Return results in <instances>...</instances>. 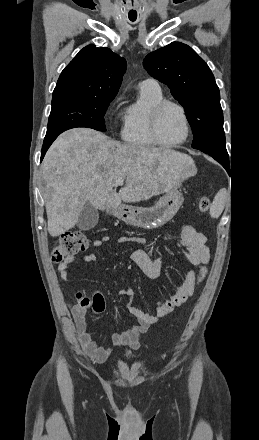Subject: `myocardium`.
Masks as SVG:
<instances>
[{"label":"myocardium","mask_w":259,"mask_h":440,"mask_svg":"<svg viewBox=\"0 0 259 440\" xmlns=\"http://www.w3.org/2000/svg\"><path fill=\"white\" fill-rule=\"evenodd\" d=\"M169 106L175 107L176 109L179 110V112L181 113V116L183 118L184 125H185L184 137L180 141L175 142V143H166L160 138V135H159V121H160L161 114ZM149 130H150V134H151L153 141L158 146H161L164 148H175V147H179V146L183 145L189 139L190 134H191V126H190L189 118H188V115H187L185 108L181 104H179L175 101H172V100H162L161 102H159L158 104H156L152 108V110L150 112V118H149Z\"/></svg>","instance_id":"obj_1"}]
</instances>
